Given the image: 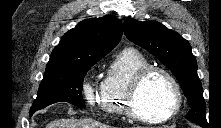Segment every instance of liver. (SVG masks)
I'll list each match as a JSON object with an SVG mask.
<instances>
[{
	"label": "liver",
	"mask_w": 221,
	"mask_h": 128,
	"mask_svg": "<svg viewBox=\"0 0 221 128\" xmlns=\"http://www.w3.org/2000/svg\"><path fill=\"white\" fill-rule=\"evenodd\" d=\"M46 128H109V127L92 118H85V119H57L47 124Z\"/></svg>",
	"instance_id": "liver-1"
}]
</instances>
